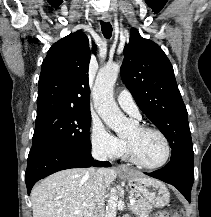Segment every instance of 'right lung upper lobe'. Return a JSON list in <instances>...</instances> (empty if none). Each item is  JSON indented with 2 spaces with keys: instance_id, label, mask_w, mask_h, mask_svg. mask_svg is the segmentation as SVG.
<instances>
[{
  "instance_id": "1",
  "label": "right lung upper lobe",
  "mask_w": 211,
  "mask_h": 217,
  "mask_svg": "<svg viewBox=\"0 0 211 217\" xmlns=\"http://www.w3.org/2000/svg\"><path fill=\"white\" fill-rule=\"evenodd\" d=\"M96 45L92 44L95 53ZM87 36L77 31L49 49L38 83L37 118L61 112H90Z\"/></svg>"
}]
</instances>
